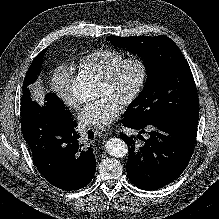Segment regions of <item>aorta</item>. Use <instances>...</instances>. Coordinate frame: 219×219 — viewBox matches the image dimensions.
Here are the masks:
<instances>
[{"label": "aorta", "instance_id": "aorta-1", "mask_svg": "<svg viewBox=\"0 0 219 219\" xmlns=\"http://www.w3.org/2000/svg\"><path fill=\"white\" fill-rule=\"evenodd\" d=\"M94 84L91 81L77 78L73 83V91L77 98L86 99L93 97ZM109 155L116 158H123L128 154L127 144L120 138H110L105 144Z\"/></svg>", "mask_w": 219, "mask_h": 219}]
</instances>
